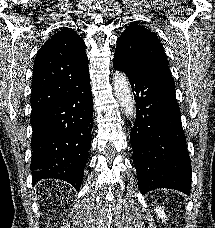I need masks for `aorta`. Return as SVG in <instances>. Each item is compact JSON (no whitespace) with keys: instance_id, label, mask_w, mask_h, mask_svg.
Returning <instances> with one entry per match:
<instances>
[{"instance_id":"obj_1","label":"aorta","mask_w":215,"mask_h":228,"mask_svg":"<svg viewBox=\"0 0 215 228\" xmlns=\"http://www.w3.org/2000/svg\"><path fill=\"white\" fill-rule=\"evenodd\" d=\"M113 88L124 114H126L132 122H135L136 102L127 76L122 74V72H115Z\"/></svg>"}]
</instances>
